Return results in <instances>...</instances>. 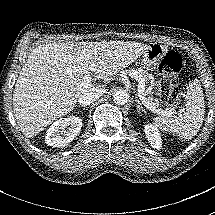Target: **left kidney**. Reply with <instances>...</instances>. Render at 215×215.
I'll use <instances>...</instances> for the list:
<instances>
[{
	"mask_svg": "<svg viewBox=\"0 0 215 215\" xmlns=\"http://www.w3.org/2000/svg\"><path fill=\"white\" fill-rule=\"evenodd\" d=\"M145 134L151 147L157 149L161 147V138L155 127H153L152 125H146Z\"/></svg>",
	"mask_w": 215,
	"mask_h": 215,
	"instance_id": "1",
	"label": "left kidney"
}]
</instances>
